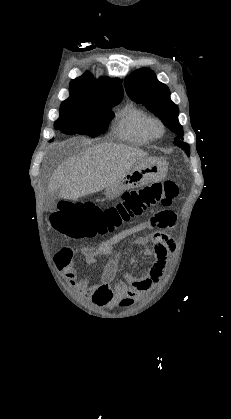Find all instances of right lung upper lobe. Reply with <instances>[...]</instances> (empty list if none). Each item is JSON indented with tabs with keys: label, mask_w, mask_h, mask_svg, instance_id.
<instances>
[{
	"label": "right lung upper lobe",
	"mask_w": 231,
	"mask_h": 419,
	"mask_svg": "<svg viewBox=\"0 0 231 419\" xmlns=\"http://www.w3.org/2000/svg\"><path fill=\"white\" fill-rule=\"evenodd\" d=\"M122 80L100 78L95 80L86 72L70 82V97L65 101H108L123 97Z\"/></svg>",
	"instance_id": "right-lung-upper-lobe-1"
}]
</instances>
